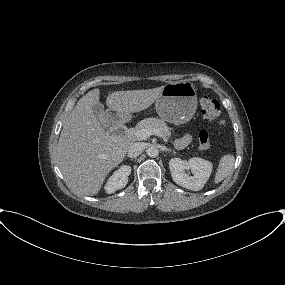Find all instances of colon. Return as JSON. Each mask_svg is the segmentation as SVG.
Wrapping results in <instances>:
<instances>
[{"label": "colon", "mask_w": 285, "mask_h": 285, "mask_svg": "<svg viewBox=\"0 0 285 285\" xmlns=\"http://www.w3.org/2000/svg\"><path fill=\"white\" fill-rule=\"evenodd\" d=\"M200 110L203 118L211 124H222V121L219 120L221 108L219 102L211 97H202L199 101ZM199 148L202 150H207L210 147V139L208 132L202 130L199 133Z\"/></svg>", "instance_id": "5ec220e1"}]
</instances>
